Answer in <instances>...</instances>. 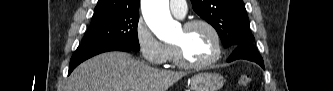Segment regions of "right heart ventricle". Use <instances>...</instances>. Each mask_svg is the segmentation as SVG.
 Instances as JSON below:
<instances>
[{
  "label": "right heart ventricle",
  "instance_id": "right-heart-ventricle-1",
  "mask_svg": "<svg viewBox=\"0 0 333 91\" xmlns=\"http://www.w3.org/2000/svg\"><path fill=\"white\" fill-rule=\"evenodd\" d=\"M168 60L169 61H175L174 60V50H173V47H168Z\"/></svg>",
  "mask_w": 333,
  "mask_h": 91
}]
</instances>
